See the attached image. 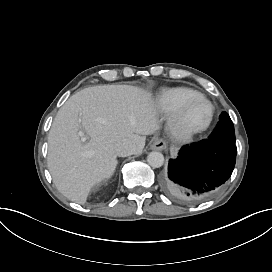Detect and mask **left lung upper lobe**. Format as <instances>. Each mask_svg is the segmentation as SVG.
Here are the masks:
<instances>
[{"label":"left lung upper lobe","mask_w":272,"mask_h":272,"mask_svg":"<svg viewBox=\"0 0 272 272\" xmlns=\"http://www.w3.org/2000/svg\"><path fill=\"white\" fill-rule=\"evenodd\" d=\"M208 139L235 144L234 125L227 112H222L217 127Z\"/></svg>","instance_id":"1"}]
</instances>
